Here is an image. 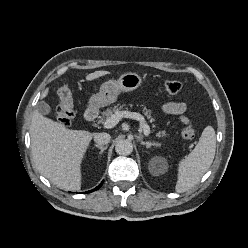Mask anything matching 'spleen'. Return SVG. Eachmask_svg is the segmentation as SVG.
<instances>
[{"instance_id": "obj_1", "label": "spleen", "mask_w": 248, "mask_h": 248, "mask_svg": "<svg viewBox=\"0 0 248 248\" xmlns=\"http://www.w3.org/2000/svg\"><path fill=\"white\" fill-rule=\"evenodd\" d=\"M216 149V135L213 127L207 126L202 132L196 147L179 162L177 193H183L194 187L210 168Z\"/></svg>"}]
</instances>
